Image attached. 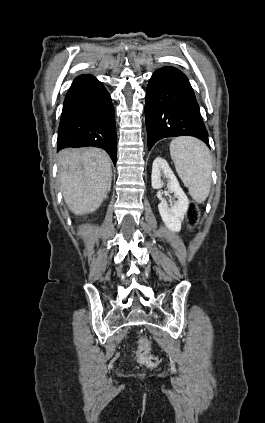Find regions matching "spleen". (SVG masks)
Listing matches in <instances>:
<instances>
[{"label": "spleen", "mask_w": 265, "mask_h": 423, "mask_svg": "<svg viewBox=\"0 0 265 423\" xmlns=\"http://www.w3.org/2000/svg\"><path fill=\"white\" fill-rule=\"evenodd\" d=\"M176 171L191 197L203 203L211 187L212 161L208 147L193 137H178L170 143Z\"/></svg>", "instance_id": "3e777b00"}]
</instances>
